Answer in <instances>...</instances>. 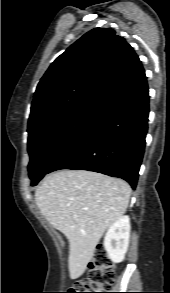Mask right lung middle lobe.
<instances>
[{"label":"right lung middle lobe","instance_id":"right-lung-middle-lobe-1","mask_svg":"<svg viewBox=\"0 0 170 293\" xmlns=\"http://www.w3.org/2000/svg\"><path fill=\"white\" fill-rule=\"evenodd\" d=\"M101 109L102 105L92 103L74 105L28 128V171L32 186L84 134Z\"/></svg>","mask_w":170,"mask_h":293}]
</instances>
